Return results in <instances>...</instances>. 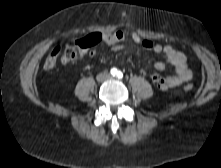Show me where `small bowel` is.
<instances>
[{"label":"small bowel","mask_w":221,"mask_h":168,"mask_svg":"<svg viewBox=\"0 0 221 168\" xmlns=\"http://www.w3.org/2000/svg\"><path fill=\"white\" fill-rule=\"evenodd\" d=\"M124 41H118L114 44H107L111 46V50L114 53H118L125 49ZM132 47L136 48L137 45ZM145 50L153 51L156 54H163L167 63L174 67L176 75L169 77H161L157 74L150 75L151 80L162 90L177 88L187 82L192 78V72L188 67L186 56L174 49L171 46H162L156 44L151 40H145V45L143 46ZM154 67L157 71H164L166 69V63L164 61H156ZM142 75H146L145 71L141 72Z\"/></svg>","instance_id":"small-bowel-1"}]
</instances>
